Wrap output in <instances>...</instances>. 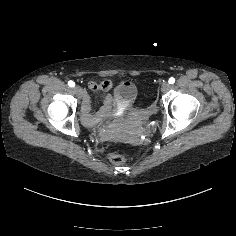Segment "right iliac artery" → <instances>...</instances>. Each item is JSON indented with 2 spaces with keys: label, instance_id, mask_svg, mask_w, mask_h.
Instances as JSON below:
<instances>
[{
  "label": "right iliac artery",
  "instance_id": "obj_1",
  "mask_svg": "<svg viewBox=\"0 0 236 236\" xmlns=\"http://www.w3.org/2000/svg\"><path fill=\"white\" fill-rule=\"evenodd\" d=\"M68 85H69L70 87H74V86H75V83L70 80V81H68Z\"/></svg>",
  "mask_w": 236,
  "mask_h": 236
}]
</instances>
